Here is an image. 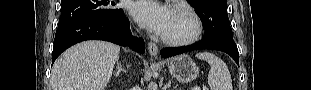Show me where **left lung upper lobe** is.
I'll use <instances>...</instances> for the list:
<instances>
[{"mask_svg": "<svg viewBox=\"0 0 311 90\" xmlns=\"http://www.w3.org/2000/svg\"><path fill=\"white\" fill-rule=\"evenodd\" d=\"M205 29L204 38L233 40L226 0H190Z\"/></svg>", "mask_w": 311, "mask_h": 90, "instance_id": "obj_1", "label": "left lung upper lobe"}]
</instances>
